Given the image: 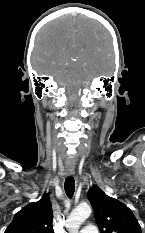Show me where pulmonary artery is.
I'll list each match as a JSON object with an SVG mask.
<instances>
[{
  "instance_id": "1",
  "label": "pulmonary artery",
  "mask_w": 145,
  "mask_h": 233,
  "mask_svg": "<svg viewBox=\"0 0 145 233\" xmlns=\"http://www.w3.org/2000/svg\"><path fill=\"white\" fill-rule=\"evenodd\" d=\"M79 233H98V229L94 225H89L80 230Z\"/></svg>"
}]
</instances>
